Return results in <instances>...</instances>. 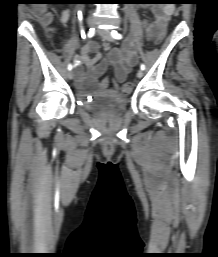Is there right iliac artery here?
<instances>
[{"label": "right iliac artery", "instance_id": "1", "mask_svg": "<svg viewBox=\"0 0 218 257\" xmlns=\"http://www.w3.org/2000/svg\"><path fill=\"white\" fill-rule=\"evenodd\" d=\"M94 34H95V29H94V28H91V29L89 30L87 36H88L89 38H91V37L94 36ZM68 70H72V64H69V65H68Z\"/></svg>", "mask_w": 218, "mask_h": 257}]
</instances>
